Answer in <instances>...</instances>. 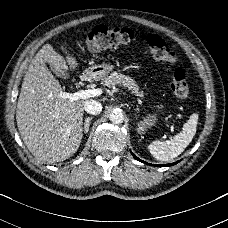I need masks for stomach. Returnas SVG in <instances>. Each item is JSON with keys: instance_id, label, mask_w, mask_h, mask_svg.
Masks as SVG:
<instances>
[{"instance_id": "obj_1", "label": "stomach", "mask_w": 228, "mask_h": 228, "mask_svg": "<svg viewBox=\"0 0 228 228\" xmlns=\"http://www.w3.org/2000/svg\"><path fill=\"white\" fill-rule=\"evenodd\" d=\"M114 69L115 65L113 64H99L96 66H91L88 69H86L84 72V76L87 79L98 81L108 77ZM164 110L165 105L163 103H158L151 113L147 114L138 121L136 132L139 134H143L157 127L161 120Z\"/></svg>"}]
</instances>
